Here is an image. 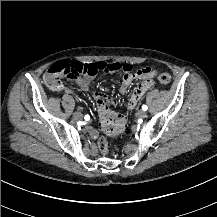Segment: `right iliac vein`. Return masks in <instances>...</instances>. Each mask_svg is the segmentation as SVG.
Returning <instances> with one entry per match:
<instances>
[{
    "mask_svg": "<svg viewBox=\"0 0 217 217\" xmlns=\"http://www.w3.org/2000/svg\"><path fill=\"white\" fill-rule=\"evenodd\" d=\"M73 117L76 119V120H80L82 119L83 115L81 112H75Z\"/></svg>",
    "mask_w": 217,
    "mask_h": 217,
    "instance_id": "1",
    "label": "right iliac vein"
}]
</instances>
